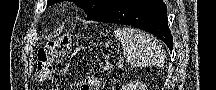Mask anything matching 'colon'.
Instances as JSON below:
<instances>
[{"label":"colon","instance_id":"1","mask_svg":"<svg viewBox=\"0 0 216 90\" xmlns=\"http://www.w3.org/2000/svg\"><path fill=\"white\" fill-rule=\"evenodd\" d=\"M69 36L62 35L42 45L37 51L36 79L40 82L50 78L52 64L57 55L63 53L69 46Z\"/></svg>","mask_w":216,"mask_h":90}]
</instances>
